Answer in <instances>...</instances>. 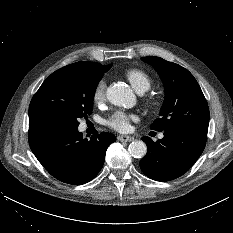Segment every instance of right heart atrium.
Here are the masks:
<instances>
[{
	"instance_id": "1",
	"label": "right heart atrium",
	"mask_w": 233,
	"mask_h": 233,
	"mask_svg": "<svg viewBox=\"0 0 233 233\" xmlns=\"http://www.w3.org/2000/svg\"><path fill=\"white\" fill-rule=\"evenodd\" d=\"M105 92H106V83L103 80H100L94 89L93 92V99L95 102H102L105 98Z\"/></svg>"
}]
</instances>
